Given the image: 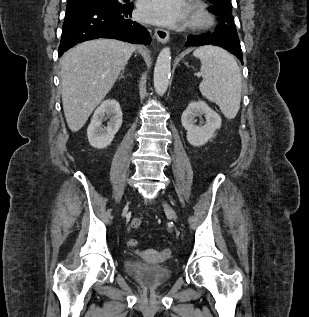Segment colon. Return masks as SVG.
I'll list each match as a JSON object with an SVG mask.
<instances>
[{"label": "colon", "mask_w": 309, "mask_h": 317, "mask_svg": "<svg viewBox=\"0 0 309 317\" xmlns=\"http://www.w3.org/2000/svg\"><path fill=\"white\" fill-rule=\"evenodd\" d=\"M140 226H141V220L139 218L132 219L131 221L132 228L136 229V228H139ZM137 244H138V241L136 239L128 240V245L131 247H135L137 246ZM165 253H167V251Z\"/></svg>", "instance_id": "obj_1"}]
</instances>
